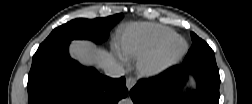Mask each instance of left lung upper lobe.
<instances>
[{"label": "left lung upper lobe", "instance_id": "1", "mask_svg": "<svg viewBox=\"0 0 252 104\" xmlns=\"http://www.w3.org/2000/svg\"><path fill=\"white\" fill-rule=\"evenodd\" d=\"M191 38L193 44L188 51L184 62L187 64L199 62L216 63L214 51L210 46L193 32H191Z\"/></svg>", "mask_w": 252, "mask_h": 104}]
</instances>
